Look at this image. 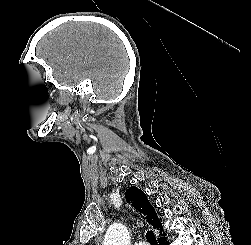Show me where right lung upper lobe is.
<instances>
[{"instance_id": "obj_1", "label": "right lung upper lobe", "mask_w": 251, "mask_h": 245, "mask_svg": "<svg viewBox=\"0 0 251 245\" xmlns=\"http://www.w3.org/2000/svg\"><path fill=\"white\" fill-rule=\"evenodd\" d=\"M125 198L128 203H131L132 206L140 212L142 217L145 218L153 228L160 230V236L164 234L162 224L144 192L132 186L125 193Z\"/></svg>"}]
</instances>
